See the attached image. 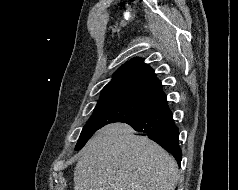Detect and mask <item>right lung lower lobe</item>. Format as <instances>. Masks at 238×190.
I'll list each match as a JSON object with an SVG mask.
<instances>
[{"label": "right lung lower lobe", "mask_w": 238, "mask_h": 190, "mask_svg": "<svg viewBox=\"0 0 238 190\" xmlns=\"http://www.w3.org/2000/svg\"><path fill=\"white\" fill-rule=\"evenodd\" d=\"M123 123L129 124L138 132L146 133L150 139L171 153L180 165L182 152L179 147V131L166 98Z\"/></svg>", "instance_id": "1"}]
</instances>
